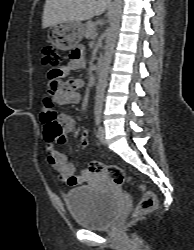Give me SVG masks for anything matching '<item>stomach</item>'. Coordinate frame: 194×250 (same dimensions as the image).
I'll list each match as a JSON object with an SVG mask.
<instances>
[{"instance_id":"0dacf381","label":"stomach","mask_w":194,"mask_h":250,"mask_svg":"<svg viewBox=\"0 0 194 250\" xmlns=\"http://www.w3.org/2000/svg\"><path fill=\"white\" fill-rule=\"evenodd\" d=\"M52 44L59 50L68 51L76 47L84 36L81 22H63L51 26Z\"/></svg>"}]
</instances>
